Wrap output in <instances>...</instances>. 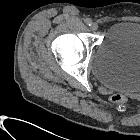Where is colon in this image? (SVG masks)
<instances>
[{"label":"colon","mask_w":140,"mask_h":140,"mask_svg":"<svg viewBox=\"0 0 140 140\" xmlns=\"http://www.w3.org/2000/svg\"><path fill=\"white\" fill-rule=\"evenodd\" d=\"M110 99L115 104H124L127 101V97L121 93H115L111 95Z\"/></svg>","instance_id":"5ec220e1"}]
</instances>
